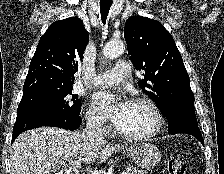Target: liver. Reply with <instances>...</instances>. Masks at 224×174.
Masks as SVG:
<instances>
[{
  "mask_svg": "<svg viewBox=\"0 0 224 174\" xmlns=\"http://www.w3.org/2000/svg\"><path fill=\"white\" fill-rule=\"evenodd\" d=\"M122 148L124 146L92 142L76 131L40 127L20 134L14 141L11 174H50L61 165L67 162L73 165L77 160L100 164Z\"/></svg>",
  "mask_w": 224,
  "mask_h": 174,
  "instance_id": "liver-1",
  "label": "liver"
}]
</instances>
